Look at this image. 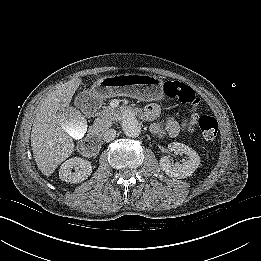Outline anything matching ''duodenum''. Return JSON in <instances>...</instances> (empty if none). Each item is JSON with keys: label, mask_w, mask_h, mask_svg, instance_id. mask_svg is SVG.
Segmentation results:
<instances>
[{"label": "duodenum", "mask_w": 261, "mask_h": 261, "mask_svg": "<svg viewBox=\"0 0 261 261\" xmlns=\"http://www.w3.org/2000/svg\"><path fill=\"white\" fill-rule=\"evenodd\" d=\"M127 112L130 115H136L137 114V112L132 108L128 109ZM100 147H101L100 137H99L97 128H94L91 131V134L88 137V139L79 144L78 150L82 155L90 156V155L96 153L99 150Z\"/></svg>", "instance_id": "1"}]
</instances>
